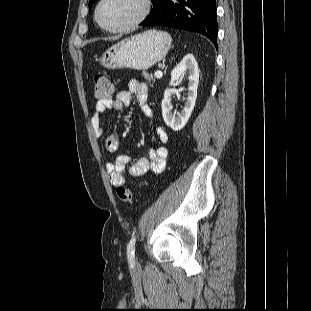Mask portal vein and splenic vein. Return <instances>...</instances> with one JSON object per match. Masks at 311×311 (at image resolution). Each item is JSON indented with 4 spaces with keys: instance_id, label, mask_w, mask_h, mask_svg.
<instances>
[{
    "instance_id": "portal-vein-and-splenic-vein-1",
    "label": "portal vein and splenic vein",
    "mask_w": 311,
    "mask_h": 311,
    "mask_svg": "<svg viewBox=\"0 0 311 311\" xmlns=\"http://www.w3.org/2000/svg\"><path fill=\"white\" fill-rule=\"evenodd\" d=\"M154 76H155L156 78H161V77L163 76V73H162V71H156L155 74H154Z\"/></svg>"
}]
</instances>
